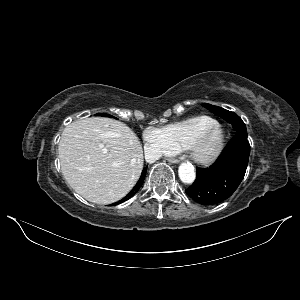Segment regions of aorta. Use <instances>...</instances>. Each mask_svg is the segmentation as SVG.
<instances>
[{"instance_id": "1", "label": "aorta", "mask_w": 300, "mask_h": 300, "mask_svg": "<svg viewBox=\"0 0 300 300\" xmlns=\"http://www.w3.org/2000/svg\"><path fill=\"white\" fill-rule=\"evenodd\" d=\"M180 180L186 184H192L196 178L195 169L190 163H182L178 169Z\"/></svg>"}]
</instances>
